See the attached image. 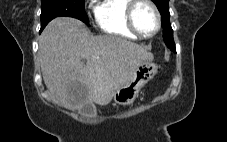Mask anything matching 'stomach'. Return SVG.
Returning <instances> with one entry per match:
<instances>
[{
    "label": "stomach",
    "mask_w": 227,
    "mask_h": 142,
    "mask_svg": "<svg viewBox=\"0 0 227 142\" xmlns=\"http://www.w3.org/2000/svg\"><path fill=\"white\" fill-rule=\"evenodd\" d=\"M157 73V67L151 62L141 64L130 79L114 94L116 105H131L140 89Z\"/></svg>",
    "instance_id": "1"
}]
</instances>
